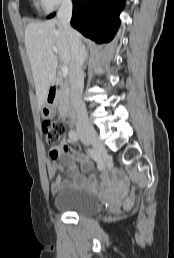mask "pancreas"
<instances>
[{
    "instance_id": "cf45deb5",
    "label": "pancreas",
    "mask_w": 174,
    "mask_h": 258,
    "mask_svg": "<svg viewBox=\"0 0 174 258\" xmlns=\"http://www.w3.org/2000/svg\"><path fill=\"white\" fill-rule=\"evenodd\" d=\"M58 101L61 107H66L68 105V95L66 89H60Z\"/></svg>"
}]
</instances>
